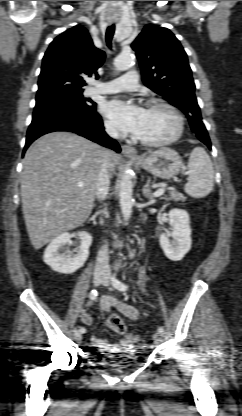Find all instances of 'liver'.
<instances>
[{
    "instance_id": "1",
    "label": "liver",
    "mask_w": 242,
    "mask_h": 416,
    "mask_svg": "<svg viewBox=\"0 0 242 416\" xmlns=\"http://www.w3.org/2000/svg\"><path fill=\"white\" fill-rule=\"evenodd\" d=\"M105 152L112 175L118 155L71 132L45 134L28 148L21 179L22 211L36 250L89 217Z\"/></svg>"
}]
</instances>
